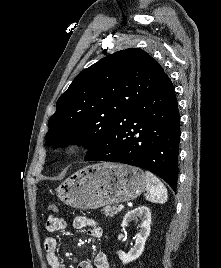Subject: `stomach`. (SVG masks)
<instances>
[{
  "mask_svg": "<svg viewBox=\"0 0 221 268\" xmlns=\"http://www.w3.org/2000/svg\"><path fill=\"white\" fill-rule=\"evenodd\" d=\"M145 187L146 175L141 169L104 162L78 170L61 183L56 192L68 206L96 209L133 200Z\"/></svg>",
  "mask_w": 221,
  "mask_h": 268,
  "instance_id": "0dacf381",
  "label": "stomach"
}]
</instances>
